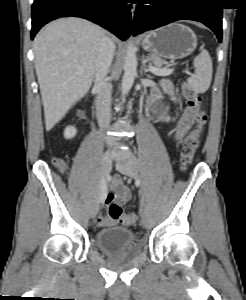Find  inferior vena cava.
I'll return each mask as SVG.
<instances>
[{"label": "inferior vena cava", "instance_id": "inferior-vena-cava-1", "mask_svg": "<svg viewBox=\"0 0 246 300\" xmlns=\"http://www.w3.org/2000/svg\"><path fill=\"white\" fill-rule=\"evenodd\" d=\"M115 52V45L113 41L104 36L99 44L98 53L94 68V87L97 91L95 101L96 117L101 128H107L111 119V93L112 85L107 82L106 77L112 63ZM108 144H113L114 140L105 137Z\"/></svg>", "mask_w": 246, "mask_h": 300}]
</instances>
